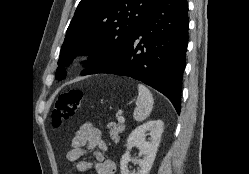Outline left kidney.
I'll use <instances>...</instances> for the list:
<instances>
[{
	"label": "left kidney",
	"mask_w": 249,
	"mask_h": 174,
	"mask_svg": "<svg viewBox=\"0 0 249 174\" xmlns=\"http://www.w3.org/2000/svg\"><path fill=\"white\" fill-rule=\"evenodd\" d=\"M164 123L162 120L148 121L134 129L127 139V151L123 154L120 165L121 174H130L128 163L131 161L130 150L136 146L140 150L142 159L136 160L140 168L132 174H148L154 162L156 152L160 143ZM150 135V141H146V136Z\"/></svg>",
	"instance_id": "obj_1"
}]
</instances>
